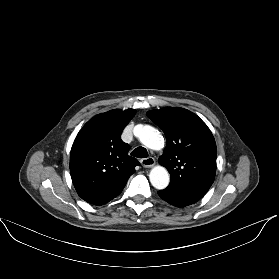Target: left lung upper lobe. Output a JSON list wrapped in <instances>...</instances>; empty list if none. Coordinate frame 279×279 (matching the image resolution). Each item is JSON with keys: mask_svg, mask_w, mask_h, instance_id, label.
<instances>
[{"mask_svg": "<svg viewBox=\"0 0 279 279\" xmlns=\"http://www.w3.org/2000/svg\"><path fill=\"white\" fill-rule=\"evenodd\" d=\"M166 137L159 163L170 173L163 191L199 201L211 187L216 173V143L207 125L184 108L166 107L147 112Z\"/></svg>", "mask_w": 279, "mask_h": 279, "instance_id": "1", "label": "left lung upper lobe"}]
</instances>
